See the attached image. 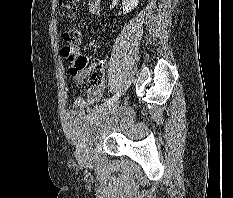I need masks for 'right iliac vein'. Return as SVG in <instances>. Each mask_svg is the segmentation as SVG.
<instances>
[{
    "instance_id": "obj_1",
    "label": "right iliac vein",
    "mask_w": 233,
    "mask_h": 198,
    "mask_svg": "<svg viewBox=\"0 0 233 198\" xmlns=\"http://www.w3.org/2000/svg\"><path fill=\"white\" fill-rule=\"evenodd\" d=\"M117 107H118V104H117V103H116V104H112V105L109 107V110H110V111H113V110H115Z\"/></svg>"
}]
</instances>
